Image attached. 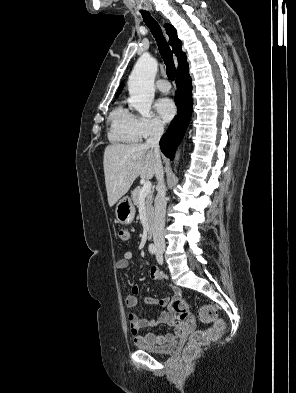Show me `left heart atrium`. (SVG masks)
Returning a JSON list of instances; mask_svg holds the SVG:
<instances>
[{"mask_svg": "<svg viewBox=\"0 0 296 393\" xmlns=\"http://www.w3.org/2000/svg\"><path fill=\"white\" fill-rule=\"evenodd\" d=\"M155 109L164 122H169L176 114V105L168 97H163L155 103Z\"/></svg>", "mask_w": 296, "mask_h": 393, "instance_id": "left-heart-atrium-1", "label": "left heart atrium"}]
</instances>
